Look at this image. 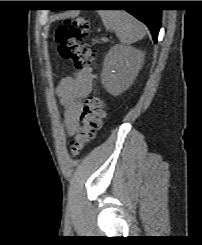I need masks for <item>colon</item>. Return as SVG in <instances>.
Masks as SVG:
<instances>
[{"instance_id":"colon-1","label":"colon","mask_w":202,"mask_h":245,"mask_svg":"<svg viewBox=\"0 0 202 245\" xmlns=\"http://www.w3.org/2000/svg\"><path fill=\"white\" fill-rule=\"evenodd\" d=\"M88 21L84 17L65 20L56 31L55 40L58 52L63 59L79 69L96 70V53L92 46L82 45L88 34ZM106 117V106L103 99L92 95L85 105L79 124L70 142V152L79 156L84 148L95 138Z\"/></svg>"}]
</instances>
